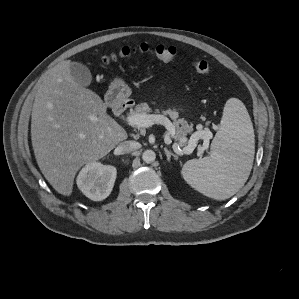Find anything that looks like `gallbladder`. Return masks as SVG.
Wrapping results in <instances>:
<instances>
[{
	"instance_id": "gallbladder-1",
	"label": "gallbladder",
	"mask_w": 299,
	"mask_h": 299,
	"mask_svg": "<svg viewBox=\"0 0 299 299\" xmlns=\"http://www.w3.org/2000/svg\"><path fill=\"white\" fill-rule=\"evenodd\" d=\"M70 73L80 86L87 87L92 83V74L87 66L79 62H71Z\"/></svg>"
}]
</instances>
